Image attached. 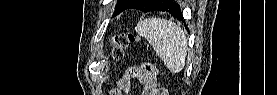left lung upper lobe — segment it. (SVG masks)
<instances>
[{
	"instance_id": "left-lung-upper-lobe-1",
	"label": "left lung upper lobe",
	"mask_w": 277,
	"mask_h": 95,
	"mask_svg": "<svg viewBox=\"0 0 277 95\" xmlns=\"http://www.w3.org/2000/svg\"><path fill=\"white\" fill-rule=\"evenodd\" d=\"M134 0H119L117 5H116V8H115V12H114V15L115 16L116 14L124 11ZM165 0H152L151 2V8H156L158 7L159 5H161Z\"/></svg>"
}]
</instances>
